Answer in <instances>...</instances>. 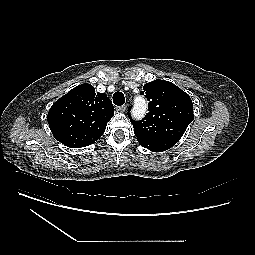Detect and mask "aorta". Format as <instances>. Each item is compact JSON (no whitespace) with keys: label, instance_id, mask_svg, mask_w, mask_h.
Wrapping results in <instances>:
<instances>
[{"label":"aorta","instance_id":"762f6f07","mask_svg":"<svg viewBox=\"0 0 255 255\" xmlns=\"http://www.w3.org/2000/svg\"><path fill=\"white\" fill-rule=\"evenodd\" d=\"M147 105L143 98L139 97L136 99L134 108H133V115L135 118H142L146 112Z\"/></svg>","mask_w":255,"mask_h":255}]
</instances>
